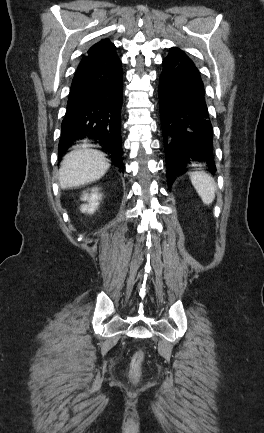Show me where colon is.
I'll return each instance as SVG.
<instances>
[{
	"mask_svg": "<svg viewBox=\"0 0 264 433\" xmlns=\"http://www.w3.org/2000/svg\"><path fill=\"white\" fill-rule=\"evenodd\" d=\"M143 360L144 353L141 350L136 351L131 358L129 375L134 382L138 381L140 378Z\"/></svg>",
	"mask_w": 264,
	"mask_h": 433,
	"instance_id": "5ec220e1",
	"label": "colon"
}]
</instances>
